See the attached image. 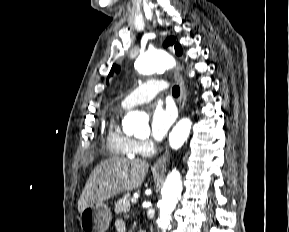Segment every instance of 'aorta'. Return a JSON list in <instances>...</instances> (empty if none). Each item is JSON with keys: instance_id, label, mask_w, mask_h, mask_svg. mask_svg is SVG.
<instances>
[{"instance_id": "aorta-1", "label": "aorta", "mask_w": 289, "mask_h": 232, "mask_svg": "<svg viewBox=\"0 0 289 232\" xmlns=\"http://www.w3.org/2000/svg\"><path fill=\"white\" fill-rule=\"evenodd\" d=\"M172 66L173 62L169 54L162 49L148 51L140 55L135 62L137 71L142 75L165 72ZM190 76H194V72ZM122 126L125 132H130L134 135H142L150 131L147 116L137 111L128 113L122 122ZM190 130V119L184 118L180 120L169 135L170 146L173 149H179L187 140ZM181 192L180 173L177 170H172L165 180L161 192L162 198L158 202V207L160 208L158 225L163 232L171 227V214L181 197Z\"/></svg>"}]
</instances>
